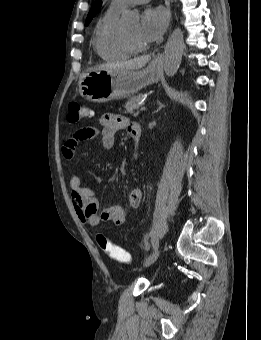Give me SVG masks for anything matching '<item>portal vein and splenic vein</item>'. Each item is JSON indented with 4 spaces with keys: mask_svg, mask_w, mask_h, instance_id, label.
<instances>
[{
    "mask_svg": "<svg viewBox=\"0 0 261 340\" xmlns=\"http://www.w3.org/2000/svg\"><path fill=\"white\" fill-rule=\"evenodd\" d=\"M146 109L147 108L144 105H142L141 108H140V111H145Z\"/></svg>",
    "mask_w": 261,
    "mask_h": 340,
    "instance_id": "portal-vein-and-splenic-vein-1",
    "label": "portal vein and splenic vein"
}]
</instances>
